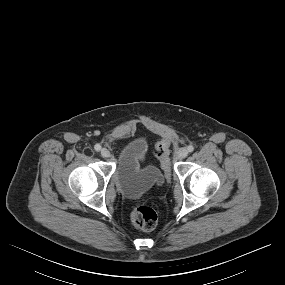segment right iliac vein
Segmentation results:
<instances>
[{
    "mask_svg": "<svg viewBox=\"0 0 285 285\" xmlns=\"http://www.w3.org/2000/svg\"><path fill=\"white\" fill-rule=\"evenodd\" d=\"M101 155L104 158H108V157H110V152H109V150L107 148H102L101 149Z\"/></svg>",
    "mask_w": 285,
    "mask_h": 285,
    "instance_id": "63e3f726",
    "label": "right iliac vein"
}]
</instances>
